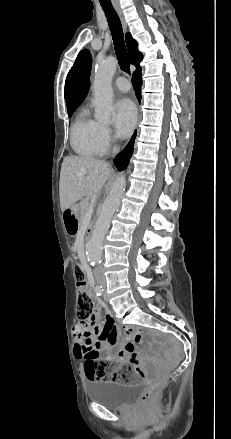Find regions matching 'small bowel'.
<instances>
[{
  "label": "small bowel",
  "mask_w": 231,
  "mask_h": 439,
  "mask_svg": "<svg viewBox=\"0 0 231 439\" xmlns=\"http://www.w3.org/2000/svg\"><path fill=\"white\" fill-rule=\"evenodd\" d=\"M87 291L92 295V283L87 285ZM100 312L96 310L88 322L79 321L73 328L75 338L74 354L78 359H86L89 353L96 357H103L107 360L114 359L120 365L132 364L143 372L148 354L138 352L137 345L141 343V337L137 334L117 330L112 321L111 313L106 314L105 322L98 323ZM94 332V335L91 332ZM130 336L132 342L118 344L121 337Z\"/></svg>",
  "instance_id": "1"
}]
</instances>
